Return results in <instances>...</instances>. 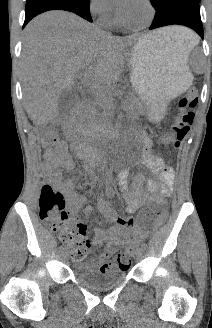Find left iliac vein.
<instances>
[{
    "label": "left iliac vein",
    "mask_w": 212,
    "mask_h": 328,
    "mask_svg": "<svg viewBox=\"0 0 212 328\" xmlns=\"http://www.w3.org/2000/svg\"><path fill=\"white\" fill-rule=\"evenodd\" d=\"M143 253H144V250L142 247H138L136 250H135V256H136V259L137 260H140L142 257H143Z\"/></svg>",
    "instance_id": "4c4485c4"
}]
</instances>
